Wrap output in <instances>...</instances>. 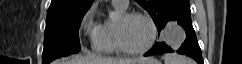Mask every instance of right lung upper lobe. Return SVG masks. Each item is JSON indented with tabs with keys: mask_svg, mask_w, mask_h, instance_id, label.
Here are the masks:
<instances>
[{
	"mask_svg": "<svg viewBox=\"0 0 242 64\" xmlns=\"http://www.w3.org/2000/svg\"><path fill=\"white\" fill-rule=\"evenodd\" d=\"M93 0H52L47 18L62 15H75L87 12Z\"/></svg>",
	"mask_w": 242,
	"mask_h": 64,
	"instance_id": "cb5924a9",
	"label": "right lung upper lobe"
}]
</instances>
